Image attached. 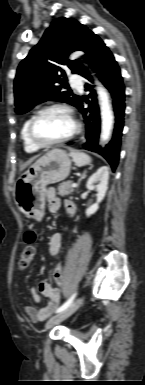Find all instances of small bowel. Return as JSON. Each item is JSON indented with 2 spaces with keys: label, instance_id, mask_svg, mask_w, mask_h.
<instances>
[{
  "label": "small bowel",
  "instance_id": "obj_1",
  "mask_svg": "<svg viewBox=\"0 0 145 385\" xmlns=\"http://www.w3.org/2000/svg\"><path fill=\"white\" fill-rule=\"evenodd\" d=\"M47 201H48V209L50 212L56 213L60 209L61 200L55 195V191L53 188L49 189L47 192ZM64 206L70 215H73L76 212V206L74 205V203L70 201H65ZM61 244H62L61 234L59 232L54 233L50 239V244H49L50 253L52 255H57L60 252ZM56 269L57 267L55 268V271H54V279L57 284L56 287L50 285L46 280H41L31 290L32 302L34 304H37L40 302L41 296L47 297L49 299L46 305L39 309L35 308L32 305L24 306V311L29 315V317L33 321L45 320L57 308L58 303L62 298V295H61V288L63 286L62 272H61V268L59 273L56 272Z\"/></svg>",
  "mask_w": 145,
  "mask_h": 385
}]
</instances>
